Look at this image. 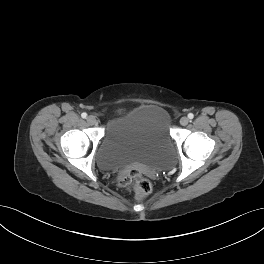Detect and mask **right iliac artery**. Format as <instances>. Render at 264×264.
I'll use <instances>...</instances> for the list:
<instances>
[{"instance_id": "1", "label": "right iliac artery", "mask_w": 264, "mask_h": 264, "mask_svg": "<svg viewBox=\"0 0 264 264\" xmlns=\"http://www.w3.org/2000/svg\"><path fill=\"white\" fill-rule=\"evenodd\" d=\"M81 117L82 118H86L87 117V114L84 112V113L81 114Z\"/></svg>"}]
</instances>
